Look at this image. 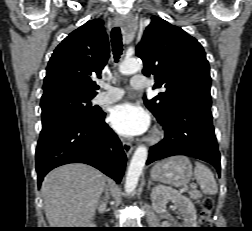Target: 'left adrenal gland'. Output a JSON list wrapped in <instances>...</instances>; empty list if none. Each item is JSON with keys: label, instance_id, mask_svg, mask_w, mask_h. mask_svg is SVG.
<instances>
[{"label": "left adrenal gland", "instance_id": "obj_1", "mask_svg": "<svg viewBox=\"0 0 252 231\" xmlns=\"http://www.w3.org/2000/svg\"><path fill=\"white\" fill-rule=\"evenodd\" d=\"M152 181L151 180H148V185H147V189L149 190L150 189V186L152 185Z\"/></svg>", "mask_w": 252, "mask_h": 231}]
</instances>
